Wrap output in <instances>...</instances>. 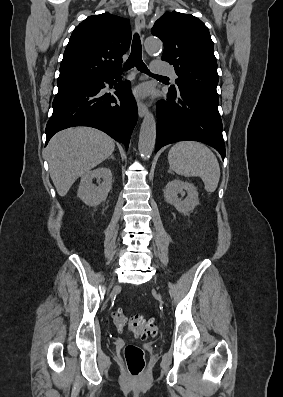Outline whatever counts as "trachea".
Listing matches in <instances>:
<instances>
[{
	"label": "trachea",
	"mask_w": 283,
	"mask_h": 397,
	"mask_svg": "<svg viewBox=\"0 0 283 397\" xmlns=\"http://www.w3.org/2000/svg\"><path fill=\"white\" fill-rule=\"evenodd\" d=\"M134 66H136V68L142 73H146L148 75H152L156 77H164V76L152 74L148 70L147 66L144 64L142 60V45H141L140 37L137 33H135L133 37L131 54L128 60L124 64L125 69H130Z\"/></svg>",
	"instance_id": "3493384b"
}]
</instances>
